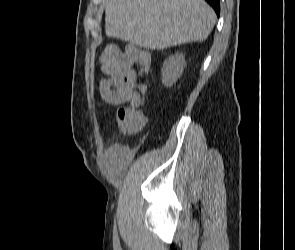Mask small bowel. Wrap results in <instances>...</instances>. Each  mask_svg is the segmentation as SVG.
<instances>
[{"instance_id":"1","label":"small bowel","mask_w":295,"mask_h":250,"mask_svg":"<svg viewBox=\"0 0 295 250\" xmlns=\"http://www.w3.org/2000/svg\"><path fill=\"white\" fill-rule=\"evenodd\" d=\"M151 64L150 54L144 50H137L119 61L102 79L99 84L100 94L107 103L120 105L140 102V95L136 91L137 81L149 70ZM120 149L113 146L109 154L119 160ZM114 170L120 167V162H114Z\"/></svg>"}]
</instances>
